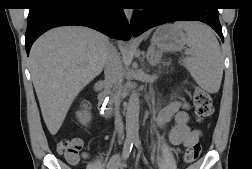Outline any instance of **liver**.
I'll return each instance as SVG.
<instances>
[{
    "instance_id": "6515ba94",
    "label": "liver",
    "mask_w": 252,
    "mask_h": 169,
    "mask_svg": "<svg viewBox=\"0 0 252 169\" xmlns=\"http://www.w3.org/2000/svg\"><path fill=\"white\" fill-rule=\"evenodd\" d=\"M109 38L81 26L58 27L32 45L29 69L44 122L55 135L80 91L98 76Z\"/></svg>"
}]
</instances>
